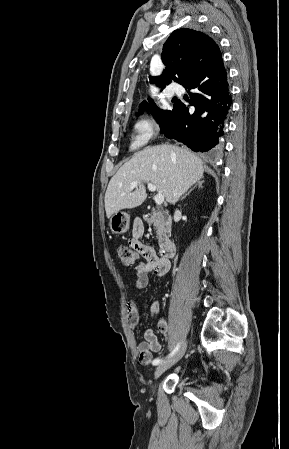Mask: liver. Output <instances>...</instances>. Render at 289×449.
<instances>
[{"mask_svg":"<svg viewBox=\"0 0 289 449\" xmlns=\"http://www.w3.org/2000/svg\"><path fill=\"white\" fill-rule=\"evenodd\" d=\"M202 160L188 149L173 145L145 148L126 162L111 178L105 193L106 215L140 206L147 197L143 182H151L166 202L176 203L203 177ZM140 181L132 191L130 184Z\"/></svg>","mask_w":289,"mask_h":449,"instance_id":"6515ba94","label":"liver"}]
</instances>
